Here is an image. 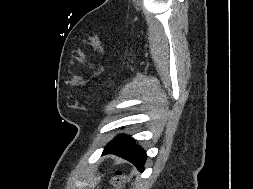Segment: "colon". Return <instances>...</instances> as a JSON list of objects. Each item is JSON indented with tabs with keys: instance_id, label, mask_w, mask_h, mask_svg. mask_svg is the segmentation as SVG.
Wrapping results in <instances>:
<instances>
[{
	"instance_id": "colon-1",
	"label": "colon",
	"mask_w": 253,
	"mask_h": 189,
	"mask_svg": "<svg viewBox=\"0 0 253 189\" xmlns=\"http://www.w3.org/2000/svg\"><path fill=\"white\" fill-rule=\"evenodd\" d=\"M122 180H123V175H122L120 172H118V173L114 176V178H113V182H114L115 184L120 183Z\"/></svg>"
}]
</instances>
